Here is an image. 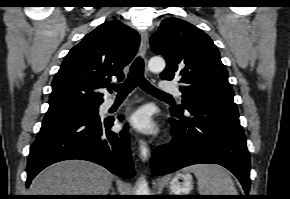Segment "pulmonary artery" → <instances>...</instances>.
<instances>
[{"instance_id":"1","label":"pulmonary artery","mask_w":290,"mask_h":199,"mask_svg":"<svg viewBox=\"0 0 290 199\" xmlns=\"http://www.w3.org/2000/svg\"><path fill=\"white\" fill-rule=\"evenodd\" d=\"M159 88L162 92H169V93H174L178 96L181 95V93L179 92L177 86L173 83V82H161L160 85H159ZM115 103V100L112 99V98H108L106 101H105V104H104V107L105 108H110L112 105H114Z\"/></svg>"}]
</instances>
